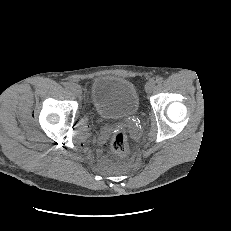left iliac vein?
<instances>
[{"label": "left iliac vein", "instance_id": "4c4485c4", "mask_svg": "<svg viewBox=\"0 0 231 231\" xmlns=\"http://www.w3.org/2000/svg\"><path fill=\"white\" fill-rule=\"evenodd\" d=\"M155 86H156L155 81L149 80L145 85L146 93L150 94L154 90Z\"/></svg>", "mask_w": 231, "mask_h": 231}]
</instances>
